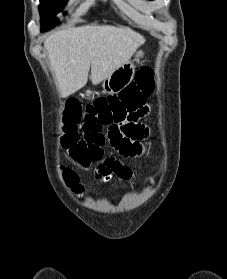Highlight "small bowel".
I'll use <instances>...</instances> for the list:
<instances>
[{
  "label": "small bowel",
  "instance_id": "1",
  "mask_svg": "<svg viewBox=\"0 0 227 279\" xmlns=\"http://www.w3.org/2000/svg\"><path fill=\"white\" fill-rule=\"evenodd\" d=\"M146 135L142 136L141 139L146 137ZM132 142V138L125 136L122 129L119 130L115 139H111L112 146L124 157H129L128 150ZM94 175L96 180L103 183H110L115 178L123 180L130 179L133 175V171L129 167L121 165L115 157L107 156L97 165Z\"/></svg>",
  "mask_w": 227,
  "mask_h": 279
}]
</instances>
